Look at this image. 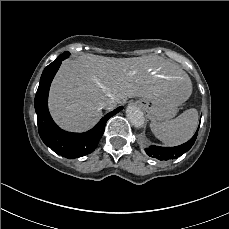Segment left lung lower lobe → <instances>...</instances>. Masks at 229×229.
I'll list each match as a JSON object with an SVG mask.
<instances>
[{"label": "left lung lower lobe", "mask_w": 229, "mask_h": 229, "mask_svg": "<svg viewBox=\"0 0 229 229\" xmlns=\"http://www.w3.org/2000/svg\"><path fill=\"white\" fill-rule=\"evenodd\" d=\"M199 126L194 136L184 144L175 147H159L151 145L148 148H145V152L148 156L156 158L158 160L167 161L170 159L178 158L183 153L187 152L194 145L198 135Z\"/></svg>", "instance_id": "obj_1"}]
</instances>
